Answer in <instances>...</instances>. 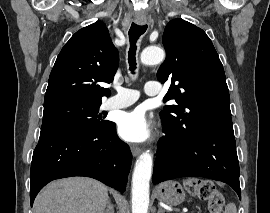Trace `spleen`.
<instances>
[{
	"label": "spleen",
	"instance_id": "obj_1",
	"mask_svg": "<svg viewBox=\"0 0 270 213\" xmlns=\"http://www.w3.org/2000/svg\"><path fill=\"white\" fill-rule=\"evenodd\" d=\"M224 213H237V208L234 203H230L225 207Z\"/></svg>",
	"mask_w": 270,
	"mask_h": 213
}]
</instances>
